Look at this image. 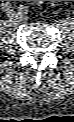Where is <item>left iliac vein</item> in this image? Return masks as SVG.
Here are the masks:
<instances>
[{
    "instance_id": "1",
    "label": "left iliac vein",
    "mask_w": 74,
    "mask_h": 122,
    "mask_svg": "<svg viewBox=\"0 0 74 122\" xmlns=\"http://www.w3.org/2000/svg\"><path fill=\"white\" fill-rule=\"evenodd\" d=\"M23 18H24V19H26L27 17H26V16H24Z\"/></svg>"
}]
</instances>
